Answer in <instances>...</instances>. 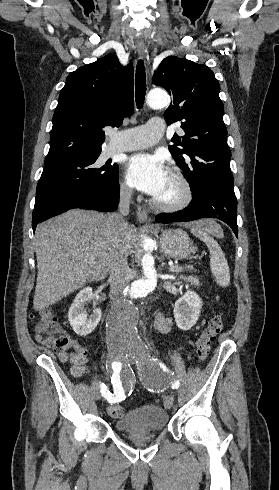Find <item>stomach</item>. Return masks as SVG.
I'll return each mask as SVG.
<instances>
[{
    "label": "stomach",
    "instance_id": "0dacf381",
    "mask_svg": "<svg viewBox=\"0 0 279 490\" xmlns=\"http://www.w3.org/2000/svg\"><path fill=\"white\" fill-rule=\"evenodd\" d=\"M161 250L173 260H189L194 254V246L183 230H164L160 236Z\"/></svg>",
    "mask_w": 279,
    "mask_h": 490
}]
</instances>
